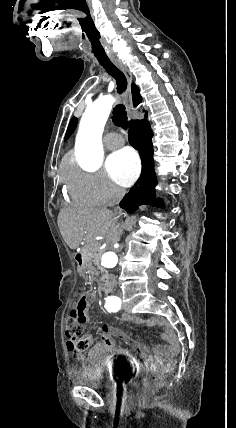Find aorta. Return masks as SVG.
<instances>
[{"label": "aorta", "instance_id": "1", "mask_svg": "<svg viewBox=\"0 0 236 428\" xmlns=\"http://www.w3.org/2000/svg\"><path fill=\"white\" fill-rule=\"evenodd\" d=\"M115 98L112 95L100 96L88 106L82 115L76 136L75 150L77 159L89 169L100 166L103 160L102 133L109 117ZM118 256L113 251H107L102 256V266L114 268Z\"/></svg>", "mask_w": 236, "mask_h": 428}]
</instances>
